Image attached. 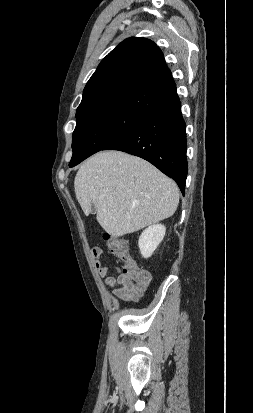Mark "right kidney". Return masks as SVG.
<instances>
[{"label": "right kidney", "instance_id": "obj_1", "mask_svg": "<svg viewBox=\"0 0 253 413\" xmlns=\"http://www.w3.org/2000/svg\"><path fill=\"white\" fill-rule=\"evenodd\" d=\"M166 228L162 224H155L146 228L139 238V249L144 258L150 257L165 236Z\"/></svg>", "mask_w": 253, "mask_h": 413}]
</instances>
